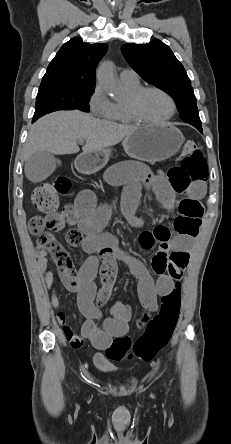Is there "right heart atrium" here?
I'll return each instance as SVG.
<instances>
[{
	"label": "right heart atrium",
	"instance_id": "right-heart-atrium-1",
	"mask_svg": "<svg viewBox=\"0 0 231 444\" xmlns=\"http://www.w3.org/2000/svg\"><path fill=\"white\" fill-rule=\"evenodd\" d=\"M91 112L98 117H108L112 102L107 97L101 85H96L89 98Z\"/></svg>",
	"mask_w": 231,
	"mask_h": 444
}]
</instances>
